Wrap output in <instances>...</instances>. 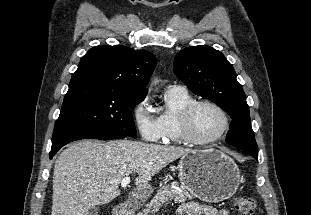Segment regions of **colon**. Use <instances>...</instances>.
<instances>
[{
	"label": "colon",
	"instance_id": "colon-1",
	"mask_svg": "<svg viewBox=\"0 0 311 215\" xmlns=\"http://www.w3.org/2000/svg\"><path fill=\"white\" fill-rule=\"evenodd\" d=\"M256 206V199L252 196L240 195L236 196L233 200V207L241 215H253Z\"/></svg>",
	"mask_w": 311,
	"mask_h": 215
}]
</instances>
